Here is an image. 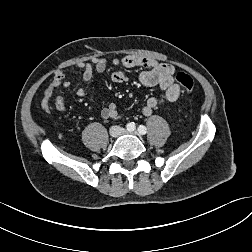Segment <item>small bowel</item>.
<instances>
[{
    "mask_svg": "<svg viewBox=\"0 0 252 252\" xmlns=\"http://www.w3.org/2000/svg\"><path fill=\"white\" fill-rule=\"evenodd\" d=\"M107 64V60L100 57H94L90 62L77 63V66L83 69V72L80 74L81 86L77 90V95L80 98H85L87 96L86 86L93 78L94 72L103 73L106 70ZM112 65L120 68L111 74V80L115 83H124L129 80L128 75L121 70V68H141L144 70L139 75V81L143 85L148 87H159L165 92V99L168 102H175L180 97L181 89L180 86L175 83V68L171 64L161 63L150 58L129 55L121 59H114ZM69 85L70 83L65 80V74L63 72L56 73L44 90L42 101L43 108L49 112L53 111L54 108L60 112H67V106L62 96L57 95L54 97V108L51 105V100L57 88L61 86L63 88H68ZM90 100L92 101L91 98ZM161 102L162 99L159 97H150L142 108L143 115L150 116ZM100 115L104 119L114 120L121 117L115 103H110L102 108L100 110Z\"/></svg>",
    "mask_w": 252,
    "mask_h": 252,
    "instance_id": "1",
    "label": "small bowel"
}]
</instances>
